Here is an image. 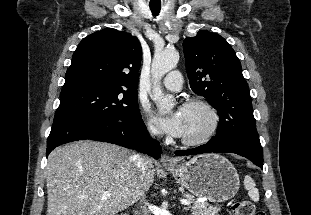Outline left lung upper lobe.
<instances>
[{
	"label": "left lung upper lobe",
	"instance_id": "obj_1",
	"mask_svg": "<svg viewBox=\"0 0 311 215\" xmlns=\"http://www.w3.org/2000/svg\"><path fill=\"white\" fill-rule=\"evenodd\" d=\"M191 89L218 110L215 138L256 130L249 87L235 51L220 35L201 30L183 41Z\"/></svg>",
	"mask_w": 311,
	"mask_h": 215
}]
</instances>
